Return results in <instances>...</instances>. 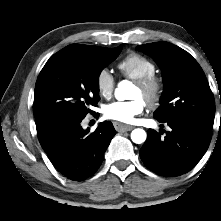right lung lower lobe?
<instances>
[{"label":"right lung lower lobe","instance_id":"obj_1","mask_svg":"<svg viewBox=\"0 0 221 221\" xmlns=\"http://www.w3.org/2000/svg\"><path fill=\"white\" fill-rule=\"evenodd\" d=\"M83 119L65 122L39 140L54 167L72 181H83L95 174L116 134L109 121L101 122L92 133L83 130Z\"/></svg>","mask_w":221,"mask_h":221}]
</instances>
